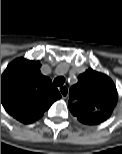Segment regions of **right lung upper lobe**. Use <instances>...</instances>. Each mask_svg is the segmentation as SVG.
Wrapping results in <instances>:
<instances>
[{
	"label": "right lung upper lobe",
	"instance_id": "obj_1",
	"mask_svg": "<svg viewBox=\"0 0 122 154\" xmlns=\"http://www.w3.org/2000/svg\"><path fill=\"white\" fill-rule=\"evenodd\" d=\"M39 61L18 58L1 76V102L22 123H32L61 95L52 81L40 73Z\"/></svg>",
	"mask_w": 122,
	"mask_h": 154
}]
</instances>
